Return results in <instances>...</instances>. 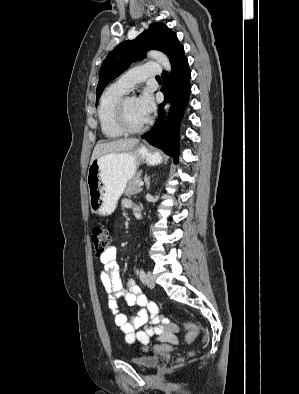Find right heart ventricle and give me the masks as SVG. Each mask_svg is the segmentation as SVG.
<instances>
[{"mask_svg": "<svg viewBox=\"0 0 299 394\" xmlns=\"http://www.w3.org/2000/svg\"><path fill=\"white\" fill-rule=\"evenodd\" d=\"M126 93L127 91L114 83L101 96L98 119L103 135L109 139H116L124 134L115 123L114 109L118 100Z\"/></svg>", "mask_w": 299, "mask_h": 394, "instance_id": "1", "label": "right heart ventricle"}]
</instances>
